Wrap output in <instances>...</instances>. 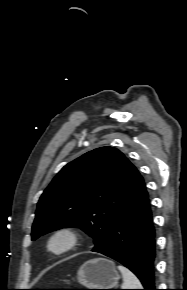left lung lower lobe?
Instances as JSON below:
<instances>
[{
    "mask_svg": "<svg viewBox=\"0 0 187 290\" xmlns=\"http://www.w3.org/2000/svg\"><path fill=\"white\" fill-rule=\"evenodd\" d=\"M92 251L130 269L140 279L144 290H157L154 274L155 229L144 182L124 204L106 240Z\"/></svg>",
    "mask_w": 187,
    "mask_h": 290,
    "instance_id": "obj_1",
    "label": "left lung lower lobe"
}]
</instances>
